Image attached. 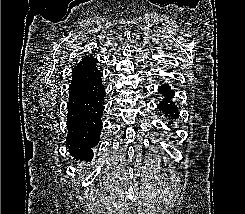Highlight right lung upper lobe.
<instances>
[{"label": "right lung upper lobe", "mask_w": 245, "mask_h": 214, "mask_svg": "<svg viewBox=\"0 0 245 214\" xmlns=\"http://www.w3.org/2000/svg\"><path fill=\"white\" fill-rule=\"evenodd\" d=\"M97 59L92 56H87L79 62V74L84 81L96 79L100 71L96 68Z\"/></svg>", "instance_id": "right-lung-upper-lobe-1"}]
</instances>
